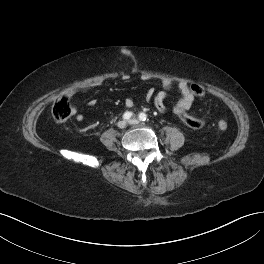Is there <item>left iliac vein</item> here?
I'll use <instances>...</instances> for the list:
<instances>
[{"instance_id":"4c4485c4","label":"left iliac vein","mask_w":264,"mask_h":264,"mask_svg":"<svg viewBox=\"0 0 264 264\" xmlns=\"http://www.w3.org/2000/svg\"><path fill=\"white\" fill-rule=\"evenodd\" d=\"M138 123H139V121L137 119L129 120V124L135 125V124H138Z\"/></svg>"}]
</instances>
